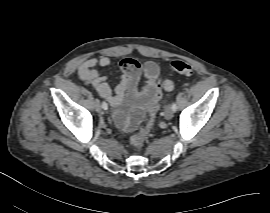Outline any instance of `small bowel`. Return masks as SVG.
<instances>
[{
  "mask_svg": "<svg viewBox=\"0 0 270 213\" xmlns=\"http://www.w3.org/2000/svg\"><path fill=\"white\" fill-rule=\"evenodd\" d=\"M110 64L111 58L107 55L87 59L79 66V77L93 86L113 107L132 106L133 114L129 121L119 123V127L123 130L132 129L145 112L160 100L162 94L158 85L160 68L153 61H147L141 66L136 60L125 58L120 62L122 80L112 89L106 78L97 70V67L104 68ZM142 75L144 80L139 85Z\"/></svg>",
  "mask_w": 270,
  "mask_h": 213,
  "instance_id": "c3829d8e",
  "label": "small bowel"
}]
</instances>
